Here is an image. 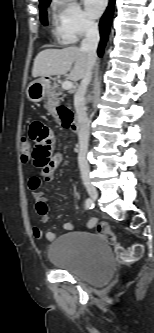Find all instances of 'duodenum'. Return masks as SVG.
<instances>
[{
    "label": "duodenum",
    "instance_id": "1",
    "mask_svg": "<svg viewBox=\"0 0 154 333\" xmlns=\"http://www.w3.org/2000/svg\"><path fill=\"white\" fill-rule=\"evenodd\" d=\"M70 129H71L73 134H78L79 133L80 128H79V124H78L76 119H72Z\"/></svg>",
    "mask_w": 154,
    "mask_h": 333
}]
</instances>
